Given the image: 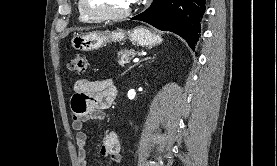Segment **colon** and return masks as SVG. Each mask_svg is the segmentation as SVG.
I'll use <instances>...</instances> for the list:
<instances>
[{
	"label": "colon",
	"instance_id": "obj_1",
	"mask_svg": "<svg viewBox=\"0 0 277 166\" xmlns=\"http://www.w3.org/2000/svg\"><path fill=\"white\" fill-rule=\"evenodd\" d=\"M68 69L71 72L82 74L87 69V61L83 55H75L69 62H68Z\"/></svg>",
	"mask_w": 277,
	"mask_h": 166
}]
</instances>
